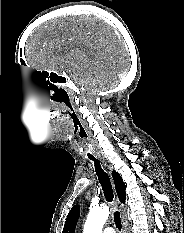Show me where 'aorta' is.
I'll list each match as a JSON object with an SVG mask.
<instances>
[{
    "instance_id": "762f6f07",
    "label": "aorta",
    "mask_w": 184,
    "mask_h": 233,
    "mask_svg": "<svg viewBox=\"0 0 184 233\" xmlns=\"http://www.w3.org/2000/svg\"><path fill=\"white\" fill-rule=\"evenodd\" d=\"M109 214V207L106 205L92 208L87 216L83 233H102L103 226Z\"/></svg>"
}]
</instances>
